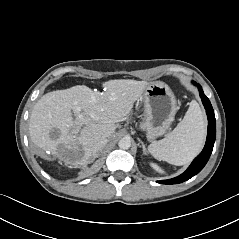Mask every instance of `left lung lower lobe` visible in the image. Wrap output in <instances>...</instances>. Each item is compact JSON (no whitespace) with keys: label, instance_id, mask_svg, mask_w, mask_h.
Wrapping results in <instances>:
<instances>
[{"label":"left lung lower lobe","instance_id":"0a47b994","mask_svg":"<svg viewBox=\"0 0 239 239\" xmlns=\"http://www.w3.org/2000/svg\"><path fill=\"white\" fill-rule=\"evenodd\" d=\"M193 84L198 86L200 97L202 99V102L206 109V113L208 117V133H207L205 146L202 152L193 160L191 165L188 167V169L184 173L172 179L157 181L158 183L178 184L192 178L203 169V167L206 165L212 153L215 138H216V121H215L214 110L212 108V105L209 99L205 96L203 90L201 89V86L196 84L195 82H193Z\"/></svg>","mask_w":239,"mask_h":239}]
</instances>
